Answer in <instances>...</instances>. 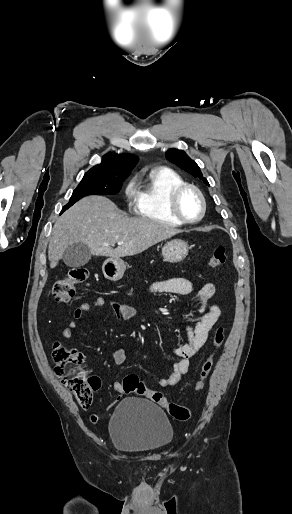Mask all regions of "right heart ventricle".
Masks as SVG:
<instances>
[{"instance_id":"1","label":"right heart ventricle","mask_w":292,"mask_h":514,"mask_svg":"<svg viewBox=\"0 0 292 514\" xmlns=\"http://www.w3.org/2000/svg\"><path fill=\"white\" fill-rule=\"evenodd\" d=\"M181 183H183L182 178L173 171L167 169L150 171L146 179L139 184L136 197L131 203V212L165 225H181L169 214L166 207L167 193Z\"/></svg>"}]
</instances>
